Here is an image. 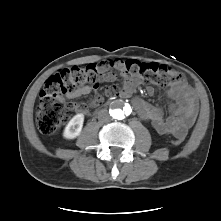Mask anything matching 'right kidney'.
<instances>
[{
	"label": "right kidney",
	"instance_id": "1",
	"mask_svg": "<svg viewBox=\"0 0 221 221\" xmlns=\"http://www.w3.org/2000/svg\"><path fill=\"white\" fill-rule=\"evenodd\" d=\"M84 122V115L77 114L75 115L66 125L63 131V137L66 139H74L76 138L82 130Z\"/></svg>",
	"mask_w": 221,
	"mask_h": 221
}]
</instances>
